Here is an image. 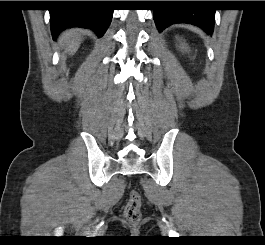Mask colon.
I'll return each instance as SVG.
<instances>
[{
  "mask_svg": "<svg viewBox=\"0 0 265 245\" xmlns=\"http://www.w3.org/2000/svg\"><path fill=\"white\" fill-rule=\"evenodd\" d=\"M141 203L140 193L137 190H132L124 208V216L130 223H138L140 221Z\"/></svg>",
  "mask_w": 265,
  "mask_h": 245,
  "instance_id": "5ec220e1",
  "label": "colon"
}]
</instances>
